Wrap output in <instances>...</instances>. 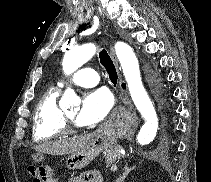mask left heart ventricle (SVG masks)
<instances>
[{"label":"left heart ventricle","instance_id":"1","mask_svg":"<svg viewBox=\"0 0 211 182\" xmlns=\"http://www.w3.org/2000/svg\"><path fill=\"white\" fill-rule=\"evenodd\" d=\"M67 115H68L70 118L74 119L75 116H76V113H75V112H67Z\"/></svg>","mask_w":211,"mask_h":182}]
</instances>
